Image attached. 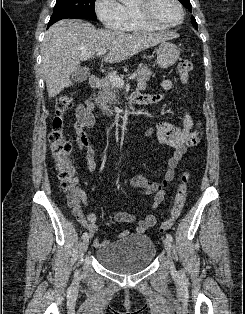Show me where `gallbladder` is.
Returning <instances> with one entry per match:
<instances>
[{"instance_id": "gallbladder-1", "label": "gallbladder", "mask_w": 245, "mask_h": 314, "mask_svg": "<svg viewBox=\"0 0 245 314\" xmlns=\"http://www.w3.org/2000/svg\"><path fill=\"white\" fill-rule=\"evenodd\" d=\"M90 71L87 67L79 66L72 74L71 80L75 83H82L88 79Z\"/></svg>"}]
</instances>
